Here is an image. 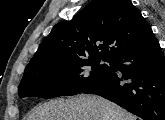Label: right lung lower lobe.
Returning a JSON list of instances; mask_svg holds the SVG:
<instances>
[{
	"instance_id": "right-lung-lower-lobe-1",
	"label": "right lung lower lobe",
	"mask_w": 165,
	"mask_h": 120,
	"mask_svg": "<svg viewBox=\"0 0 165 120\" xmlns=\"http://www.w3.org/2000/svg\"><path fill=\"white\" fill-rule=\"evenodd\" d=\"M143 120H165V57L152 35L112 60L110 73L85 88Z\"/></svg>"
}]
</instances>
